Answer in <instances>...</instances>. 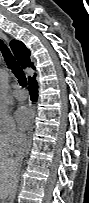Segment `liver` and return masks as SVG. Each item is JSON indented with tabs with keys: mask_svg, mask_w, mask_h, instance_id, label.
<instances>
[{
	"mask_svg": "<svg viewBox=\"0 0 89 203\" xmlns=\"http://www.w3.org/2000/svg\"><path fill=\"white\" fill-rule=\"evenodd\" d=\"M20 163L14 158L0 159V197L7 198L17 180Z\"/></svg>",
	"mask_w": 89,
	"mask_h": 203,
	"instance_id": "1",
	"label": "liver"
}]
</instances>
